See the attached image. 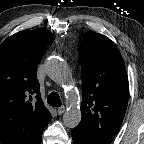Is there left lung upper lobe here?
<instances>
[{"label":"left lung upper lobe","mask_w":144,"mask_h":144,"mask_svg":"<svg viewBox=\"0 0 144 144\" xmlns=\"http://www.w3.org/2000/svg\"><path fill=\"white\" fill-rule=\"evenodd\" d=\"M83 81L81 122L75 129L97 141L112 142L128 104L124 61L106 36L88 31L79 46Z\"/></svg>","instance_id":"left-lung-upper-lobe-1"}]
</instances>
